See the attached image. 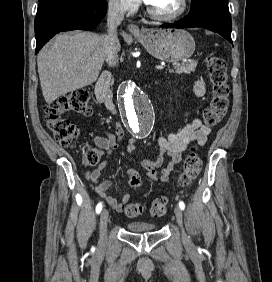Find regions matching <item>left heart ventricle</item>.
I'll return each mask as SVG.
<instances>
[{"label":"left heart ventricle","instance_id":"1","mask_svg":"<svg viewBox=\"0 0 272 282\" xmlns=\"http://www.w3.org/2000/svg\"><path fill=\"white\" fill-rule=\"evenodd\" d=\"M150 8L161 14H174L181 8V0H148Z\"/></svg>","mask_w":272,"mask_h":282}]
</instances>
